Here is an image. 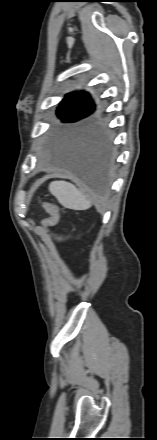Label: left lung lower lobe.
<instances>
[{"label":"left lung lower lobe","instance_id":"left-lung-lower-lobe-1","mask_svg":"<svg viewBox=\"0 0 157 440\" xmlns=\"http://www.w3.org/2000/svg\"><path fill=\"white\" fill-rule=\"evenodd\" d=\"M112 165L111 139L105 130L80 138L74 137L64 158L65 168L98 191L106 188Z\"/></svg>","mask_w":157,"mask_h":440}]
</instances>
